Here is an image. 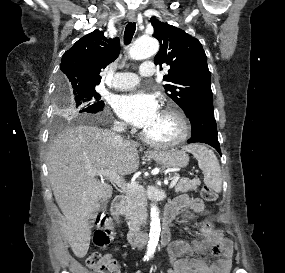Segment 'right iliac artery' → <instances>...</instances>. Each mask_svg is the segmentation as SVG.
Listing matches in <instances>:
<instances>
[{
  "label": "right iliac artery",
  "instance_id": "1",
  "mask_svg": "<svg viewBox=\"0 0 285 273\" xmlns=\"http://www.w3.org/2000/svg\"><path fill=\"white\" fill-rule=\"evenodd\" d=\"M148 259H149V257H148V256H144V261H145V260H148Z\"/></svg>",
  "mask_w": 285,
  "mask_h": 273
}]
</instances>
